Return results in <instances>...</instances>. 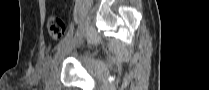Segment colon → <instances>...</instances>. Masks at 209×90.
<instances>
[{
  "instance_id": "1",
  "label": "colon",
  "mask_w": 209,
  "mask_h": 90,
  "mask_svg": "<svg viewBox=\"0 0 209 90\" xmlns=\"http://www.w3.org/2000/svg\"><path fill=\"white\" fill-rule=\"evenodd\" d=\"M48 31L53 39L59 40L65 33V23L57 16H53L48 21Z\"/></svg>"
}]
</instances>
